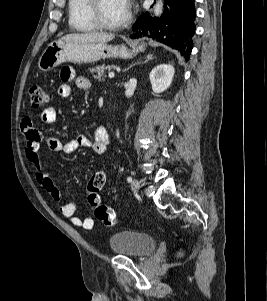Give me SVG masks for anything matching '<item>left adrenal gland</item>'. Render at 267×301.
I'll return each instance as SVG.
<instances>
[{
  "label": "left adrenal gland",
  "mask_w": 267,
  "mask_h": 301,
  "mask_svg": "<svg viewBox=\"0 0 267 301\" xmlns=\"http://www.w3.org/2000/svg\"><path fill=\"white\" fill-rule=\"evenodd\" d=\"M152 59H154L153 55H147V56H146V59H145L144 61L138 62L137 64L147 63V62L151 61ZM134 65H136V64H134ZM134 65H131L129 68H131V67L134 66ZM129 68H128V69H129ZM128 69H127V70H128Z\"/></svg>",
  "instance_id": "obj_1"
}]
</instances>
